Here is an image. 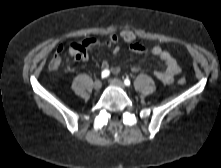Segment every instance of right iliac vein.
<instances>
[{
  "instance_id": "1",
  "label": "right iliac vein",
  "mask_w": 221,
  "mask_h": 168,
  "mask_svg": "<svg viewBox=\"0 0 221 168\" xmlns=\"http://www.w3.org/2000/svg\"><path fill=\"white\" fill-rule=\"evenodd\" d=\"M94 89L95 90H99L101 87H102V82L100 81V80H96L95 82H94Z\"/></svg>"
}]
</instances>
